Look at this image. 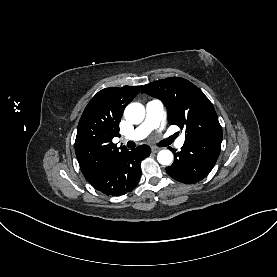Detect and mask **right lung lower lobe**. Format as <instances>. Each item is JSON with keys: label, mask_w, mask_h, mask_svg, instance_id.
Instances as JSON below:
<instances>
[{"label": "right lung lower lobe", "mask_w": 277, "mask_h": 277, "mask_svg": "<svg viewBox=\"0 0 277 277\" xmlns=\"http://www.w3.org/2000/svg\"><path fill=\"white\" fill-rule=\"evenodd\" d=\"M147 145L125 151L116 157L99 175L88 181L106 195L119 196L131 191L141 177L140 162L150 155Z\"/></svg>", "instance_id": "right-lung-lower-lobe-1"}]
</instances>
